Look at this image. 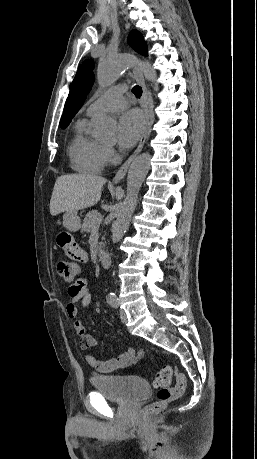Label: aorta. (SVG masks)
<instances>
[{
	"label": "aorta",
	"mask_w": 257,
	"mask_h": 459,
	"mask_svg": "<svg viewBox=\"0 0 257 459\" xmlns=\"http://www.w3.org/2000/svg\"><path fill=\"white\" fill-rule=\"evenodd\" d=\"M132 58L126 54H118L103 60L97 69V81L101 87L114 83L130 66ZM141 69L146 79L155 84L156 72L149 63L141 62ZM92 134L100 141H110L115 135V121L101 115L92 121ZM150 168V155L144 153L136 157L130 165L127 176L126 197L112 226V241L119 242L129 227L132 213L135 210L138 193Z\"/></svg>",
	"instance_id": "obj_1"
}]
</instances>
